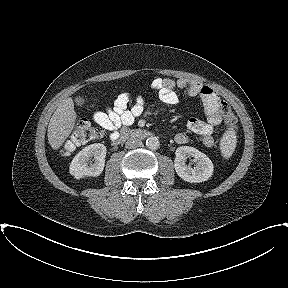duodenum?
Instances as JSON below:
<instances>
[{
  "label": "duodenum",
  "mask_w": 288,
  "mask_h": 288,
  "mask_svg": "<svg viewBox=\"0 0 288 288\" xmlns=\"http://www.w3.org/2000/svg\"><path fill=\"white\" fill-rule=\"evenodd\" d=\"M152 136V133L148 130L136 128V129H123L119 135L112 140L113 144L117 145L129 138L145 139Z\"/></svg>",
  "instance_id": "duodenum-1"
}]
</instances>
